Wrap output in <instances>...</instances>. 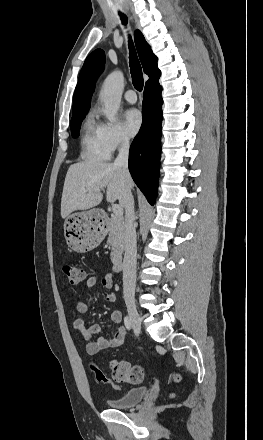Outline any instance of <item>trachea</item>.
Here are the masks:
<instances>
[{"mask_svg":"<svg viewBox=\"0 0 263 440\" xmlns=\"http://www.w3.org/2000/svg\"><path fill=\"white\" fill-rule=\"evenodd\" d=\"M121 15V19L123 24L127 23V17L120 14ZM129 50H130V71H131V76H132V83L135 87L136 90L138 91H142L143 89V85H144V80H143V73H142V68L140 65V62L138 60L134 45L132 40H129Z\"/></svg>","mask_w":263,"mask_h":440,"instance_id":"obj_1","label":"trachea"}]
</instances>
